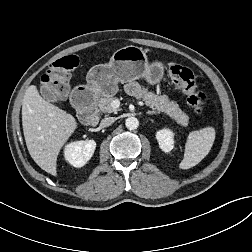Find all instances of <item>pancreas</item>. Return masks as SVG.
<instances>
[{"label": "pancreas", "mask_w": 252, "mask_h": 252, "mask_svg": "<svg viewBox=\"0 0 252 252\" xmlns=\"http://www.w3.org/2000/svg\"><path fill=\"white\" fill-rule=\"evenodd\" d=\"M117 98L114 94L102 97L98 100L99 110L103 113H112L116 109L112 107V102ZM143 101L147 106H150L158 111L167 114L172 120L181 126L188 124L189 117L181 111L178 104L170 99L166 95H157L153 92H149L147 89L143 90Z\"/></svg>", "instance_id": "1"}]
</instances>
